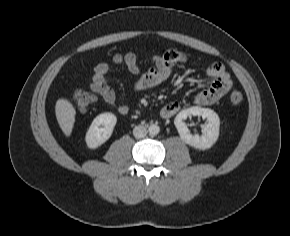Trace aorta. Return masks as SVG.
Segmentation results:
<instances>
[{
  "label": "aorta",
  "mask_w": 290,
  "mask_h": 236,
  "mask_svg": "<svg viewBox=\"0 0 290 236\" xmlns=\"http://www.w3.org/2000/svg\"><path fill=\"white\" fill-rule=\"evenodd\" d=\"M148 131L150 135L155 136L160 132V128L158 125L152 124L149 126Z\"/></svg>",
  "instance_id": "1"
}]
</instances>
